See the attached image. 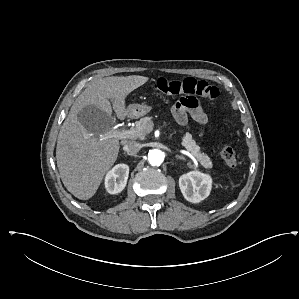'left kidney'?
I'll return each mask as SVG.
<instances>
[{
	"instance_id": "left-kidney-1",
	"label": "left kidney",
	"mask_w": 299,
	"mask_h": 299,
	"mask_svg": "<svg viewBox=\"0 0 299 299\" xmlns=\"http://www.w3.org/2000/svg\"><path fill=\"white\" fill-rule=\"evenodd\" d=\"M179 187L187 201L199 203L209 196L212 178L209 174H204L197 170L191 171L180 176Z\"/></svg>"
}]
</instances>
